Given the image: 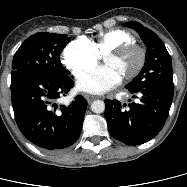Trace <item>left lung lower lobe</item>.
Returning a JSON list of instances; mask_svg holds the SVG:
<instances>
[{"instance_id": "obj_1", "label": "left lung lower lobe", "mask_w": 187, "mask_h": 187, "mask_svg": "<svg viewBox=\"0 0 187 187\" xmlns=\"http://www.w3.org/2000/svg\"><path fill=\"white\" fill-rule=\"evenodd\" d=\"M129 92L139 101L128 104L124 109L119 101L106 99L105 117L114 139L127 145H139L153 139L163 128L174 89L148 87Z\"/></svg>"}]
</instances>
